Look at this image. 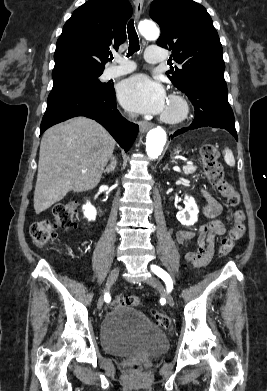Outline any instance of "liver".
Wrapping results in <instances>:
<instances>
[{
    "mask_svg": "<svg viewBox=\"0 0 267 391\" xmlns=\"http://www.w3.org/2000/svg\"><path fill=\"white\" fill-rule=\"evenodd\" d=\"M115 144L100 124L86 117H75L48 129L40 144L34 192L36 214L61 201L70 191L95 188Z\"/></svg>",
    "mask_w": 267,
    "mask_h": 391,
    "instance_id": "obj_1",
    "label": "liver"
}]
</instances>
